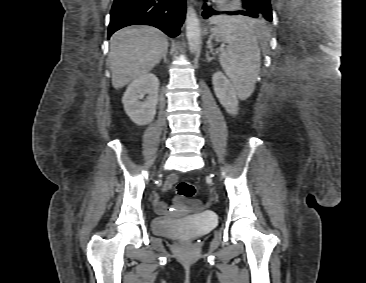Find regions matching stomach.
Wrapping results in <instances>:
<instances>
[{
    "label": "stomach",
    "instance_id": "stomach-1",
    "mask_svg": "<svg viewBox=\"0 0 366 283\" xmlns=\"http://www.w3.org/2000/svg\"><path fill=\"white\" fill-rule=\"evenodd\" d=\"M223 31L220 29H214L212 36L215 37L216 41H219L220 39H223Z\"/></svg>",
    "mask_w": 366,
    "mask_h": 283
}]
</instances>
